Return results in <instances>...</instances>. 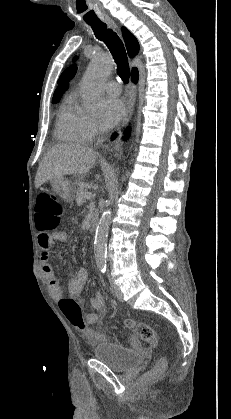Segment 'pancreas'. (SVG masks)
Listing matches in <instances>:
<instances>
[{"label":"pancreas","mask_w":231,"mask_h":419,"mask_svg":"<svg viewBox=\"0 0 231 419\" xmlns=\"http://www.w3.org/2000/svg\"><path fill=\"white\" fill-rule=\"evenodd\" d=\"M76 203L81 205L85 201V193L89 192L88 188L81 182L76 183Z\"/></svg>","instance_id":"cf45deb5"}]
</instances>
